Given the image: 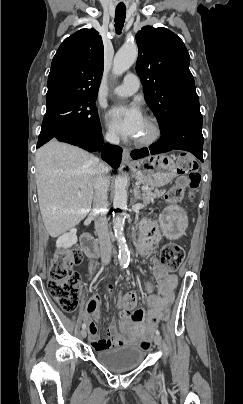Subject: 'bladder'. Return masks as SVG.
I'll return each mask as SVG.
<instances>
[{
  "label": "bladder",
  "instance_id": "1",
  "mask_svg": "<svg viewBox=\"0 0 243 404\" xmlns=\"http://www.w3.org/2000/svg\"><path fill=\"white\" fill-rule=\"evenodd\" d=\"M145 352L136 346H120L96 352V361L106 370L122 373L138 368L145 360Z\"/></svg>",
  "mask_w": 243,
  "mask_h": 404
}]
</instances>
